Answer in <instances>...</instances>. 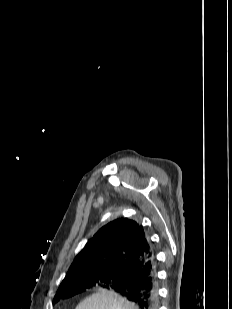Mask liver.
<instances>
[{
	"label": "liver",
	"mask_w": 232,
	"mask_h": 309,
	"mask_svg": "<svg viewBox=\"0 0 232 309\" xmlns=\"http://www.w3.org/2000/svg\"><path fill=\"white\" fill-rule=\"evenodd\" d=\"M75 309H139L118 294L101 289L85 298Z\"/></svg>",
	"instance_id": "1"
}]
</instances>
